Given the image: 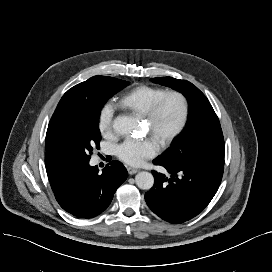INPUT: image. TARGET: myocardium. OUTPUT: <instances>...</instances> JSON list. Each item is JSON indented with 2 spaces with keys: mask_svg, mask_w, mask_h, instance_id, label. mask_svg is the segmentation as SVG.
<instances>
[{
  "mask_svg": "<svg viewBox=\"0 0 272 272\" xmlns=\"http://www.w3.org/2000/svg\"><path fill=\"white\" fill-rule=\"evenodd\" d=\"M170 98H173L178 102L180 107V116L176 125L170 131L165 133L159 140L162 145H167L172 142L186 126L189 115V105L187 98L180 91H166L155 101V103L145 115L146 121L150 126V131L153 135H155V124L159 118L165 102Z\"/></svg>",
  "mask_w": 272,
  "mask_h": 272,
  "instance_id": "1",
  "label": "myocardium"
}]
</instances>
